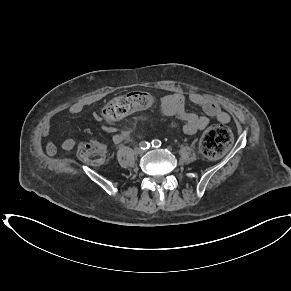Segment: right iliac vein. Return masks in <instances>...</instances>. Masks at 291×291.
Wrapping results in <instances>:
<instances>
[{
  "mask_svg": "<svg viewBox=\"0 0 291 291\" xmlns=\"http://www.w3.org/2000/svg\"><path fill=\"white\" fill-rule=\"evenodd\" d=\"M134 152H135L136 155H142L143 154V151L140 148H136L134 150Z\"/></svg>",
  "mask_w": 291,
  "mask_h": 291,
  "instance_id": "right-iliac-vein-1",
  "label": "right iliac vein"
}]
</instances>
